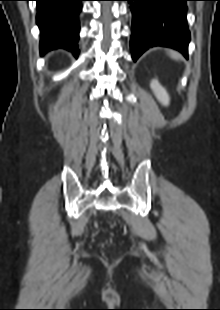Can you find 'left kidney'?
<instances>
[{
    "mask_svg": "<svg viewBox=\"0 0 220 310\" xmlns=\"http://www.w3.org/2000/svg\"><path fill=\"white\" fill-rule=\"evenodd\" d=\"M150 86L158 101L165 106L168 105L169 96L160 83L157 80H152Z\"/></svg>",
    "mask_w": 220,
    "mask_h": 310,
    "instance_id": "5707ae66",
    "label": "left kidney"
}]
</instances>
